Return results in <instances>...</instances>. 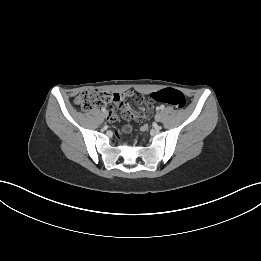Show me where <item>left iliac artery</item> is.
<instances>
[{
	"mask_svg": "<svg viewBox=\"0 0 261 261\" xmlns=\"http://www.w3.org/2000/svg\"><path fill=\"white\" fill-rule=\"evenodd\" d=\"M164 108H165L164 105H161V106L159 107V109H161V110H163Z\"/></svg>",
	"mask_w": 261,
	"mask_h": 261,
	"instance_id": "44dca946",
	"label": "left iliac artery"
}]
</instances>
